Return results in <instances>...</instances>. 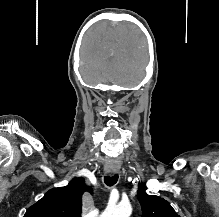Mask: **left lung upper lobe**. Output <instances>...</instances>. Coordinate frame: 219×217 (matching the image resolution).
Instances as JSON below:
<instances>
[{"label":"left lung upper lobe","mask_w":219,"mask_h":217,"mask_svg":"<svg viewBox=\"0 0 219 217\" xmlns=\"http://www.w3.org/2000/svg\"><path fill=\"white\" fill-rule=\"evenodd\" d=\"M137 196L142 207V217H180L169 202L158 196L146 194L142 184L139 186Z\"/></svg>","instance_id":"obj_1"}]
</instances>
